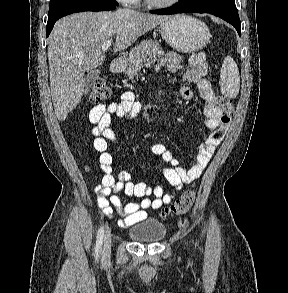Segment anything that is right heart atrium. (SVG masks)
<instances>
[{
    "mask_svg": "<svg viewBox=\"0 0 288 293\" xmlns=\"http://www.w3.org/2000/svg\"><path fill=\"white\" fill-rule=\"evenodd\" d=\"M117 1L127 5V4L134 3L136 0H117Z\"/></svg>",
    "mask_w": 288,
    "mask_h": 293,
    "instance_id": "d8ad5b80",
    "label": "right heart atrium"
}]
</instances>
